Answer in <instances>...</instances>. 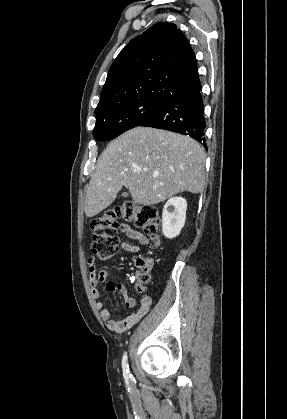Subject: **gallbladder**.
Instances as JSON below:
<instances>
[{
	"instance_id": "gallbladder-1",
	"label": "gallbladder",
	"mask_w": 287,
	"mask_h": 419,
	"mask_svg": "<svg viewBox=\"0 0 287 419\" xmlns=\"http://www.w3.org/2000/svg\"><path fill=\"white\" fill-rule=\"evenodd\" d=\"M122 196H123V197H127V196H128V193H127V192H123V193H122Z\"/></svg>"
}]
</instances>
